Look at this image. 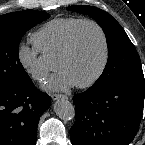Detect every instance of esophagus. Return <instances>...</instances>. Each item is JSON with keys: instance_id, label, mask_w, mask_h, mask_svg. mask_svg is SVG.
<instances>
[{"instance_id": "1", "label": "esophagus", "mask_w": 145, "mask_h": 145, "mask_svg": "<svg viewBox=\"0 0 145 145\" xmlns=\"http://www.w3.org/2000/svg\"><path fill=\"white\" fill-rule=\"evenodd\" d=\"M51 98H52V100H58V99H60V98H65V99H67V96L66 95H62V94H52L51 95Z\"/></svg>"}]
</instances>
